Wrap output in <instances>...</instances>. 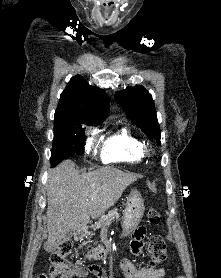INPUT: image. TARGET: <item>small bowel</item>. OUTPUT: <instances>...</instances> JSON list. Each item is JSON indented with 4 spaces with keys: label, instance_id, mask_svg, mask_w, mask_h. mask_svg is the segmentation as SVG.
Masks as SVG:
<instances>
[{
    "label": "small bowel",
    "instance_id": "obj_1",
    "mask_svg": "<svg viewBox=\"0 0 221 278\" xmlns=\"http://www.w3.org/2000/svg\"><path fill=\"white\" fill-rule=\"evenodd\" d=\"M144 232L140 229L135 230L133 239L131 241V251L134 254L142 252L144 241ZM119 270L125 278H162L165 275L164 268L155 269H139L131 261L123 260L119 263ZM89 273L94 274L97 278H108L105 272L96 265L83 267L78 266L74 268L68 278H84ZM177 278H181L180 276Z\"/></svg>",
    "mask_w": 221,
    "mask_h": 278
}]
</instances>
